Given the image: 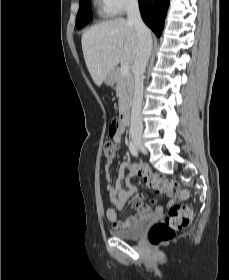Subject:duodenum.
<instances>
[{"mask_svg": "<svg viewBox=\"0 0 229 280\" xmlns=\"http://www.w3.org/2000/svg\"><path fill=\"white\" fill-rule=\"evenodd\" d=\"M119 124L122 130H125L129 125V113L127 110H123L119 117Z\"/></svg>", "mask_w": 229, "mask_h": 280, "instance_id": "duodenum-1", "label": "duodenum"}]
</instances>
